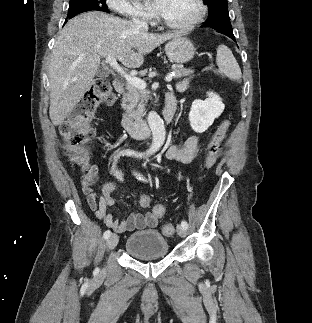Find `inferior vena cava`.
Here are the masks:
<instances>
[{"instance_id": "inferior-vena-cava-1", "label": "inferior vena cava", "mask_w": 312, "mask_h": 323, "mask_svg": "<svg viewBox=\"0 0 312 323\" xmlns=\"http://www.w3.org/2000/svg\"><path fill=\"white\" fill-rule=\"evenodd\" d=\"M133 24H136L137 28H143V30H148V26L144 20H139V18H136L134 16L133 18Z\"/></svg>"}]
</instances>
